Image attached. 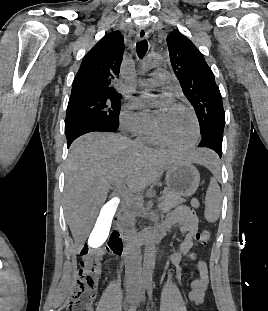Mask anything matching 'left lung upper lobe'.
<instances>
[{
    "label": "left lung upper lobe",
    "mask_w": 268,
    "mask_h": 311,
    "mask_svg": "<svg viewBox=\"0 0 268 311\" xmlns=\"http://www.w3.org/2000/svg\"><path fill=\"white\" fill-rule=\"evenodd\" d=\"M167 44L173 71L196 112L202 138L223 135L225 112L222 96L203 54L179 32L170 33Z\"/></svg>",
    "instance_id": "5c2ea615"
}]
</instances>
